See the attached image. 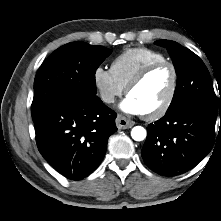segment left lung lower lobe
I'll list each match as a JSON object with an SVG mask.
<instances>
[{
	"instance_id": "obj_1",
	"label": "left lung lower lobe",
	"mask_w": 221,
	"mask_h": 221,
	"mask_svg": "<svg viewBox=\"0 0 221 221\" xmlns=\"http://www.w3.org/2000/svg\"><path fill=\"white\" fill-rule=\"evenodd\" d=\"M216 112L189 102L149 124L142 148L145 164L164 176H176L194 168L213 147Z\"/></svg>"
}]
</instances>
